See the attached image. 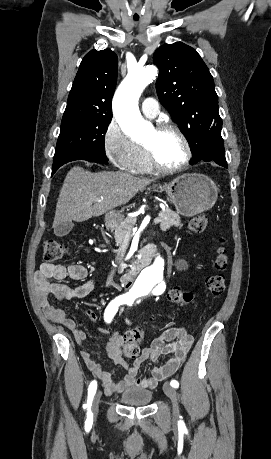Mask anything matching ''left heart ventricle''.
I'll list each match as a JSON object with an SVG mask.
<instances>
[{"instance_id":"obj_1","label":"left heart ventricle","mask_w":271,"mask_h":459,"mask_svg":"<svg viewBox=\"0 0 271 459\" xmlns=\"http://www.w3.org/2000/svg\"><path fill=\"white\" fill-rule=\"evenodd\" d=\"M145 143L153 147L165 163H177L185 156V146L181 138L174 132L159 134L153 129L147 136Z\"/></svg>"}]
</instances>
